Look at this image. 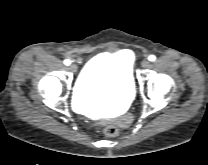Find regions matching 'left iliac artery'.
<instances>
[{
    "label": "left iliac artery",
    "mask_w": 208,
    "mask_h": 165,
    "mask_svg": "<svg viewBox=\"0 0 208 165\" xmlns=\"http://www.w3.org/2000/svg\"><path fill=\"white\" fill-rule=\"evenodd\" d=\"M150 61H155L156 57L154 55H150L148 58Z\"/></svg>",
    "instance_id": "left-iliac-artery-1"
}]
</instances>
